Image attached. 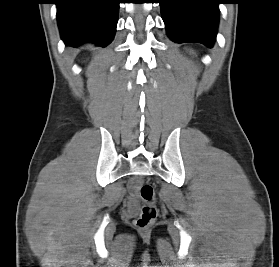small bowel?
Returning <instances> with one entry per match:
<instances>
[{"instance_id":"1","label":"small bowel","mask_w":279,"mask_h":267,"mask_svg":"<svg viewBox=\"0 0 279 267\" xmlns=\"http://www.w3.org/2000/svg\"><path fill=\"white\" fill-rule=\"evenodd\" d=\"M137 184H138L137 181H133V182L131 183L130 189H131L132 194L135 193V191H136V189H137Z\"/></svg>"}]
</instances>
